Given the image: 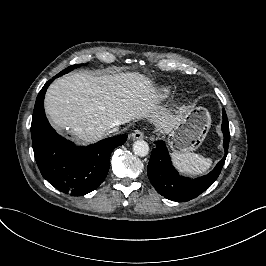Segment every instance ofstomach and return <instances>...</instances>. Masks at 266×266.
Instances as JSON below:
<instances>
[{
  "mask_svg": "<svg viewBox=\"0 0 266 266\" xmlns=\"http://www.w3.org/2000/svg\"><path fill=\"white\" fill-rule=\"evenodd\" d=\"M210 127V114L205 108L190 109L169 135L174 151L188 153L198 148Z\"/></svg>",
  "mask_w": 266,
  "mask_h": 266,
  "instance_id": "1",
  "label": "stomach"
}]
</instances>
